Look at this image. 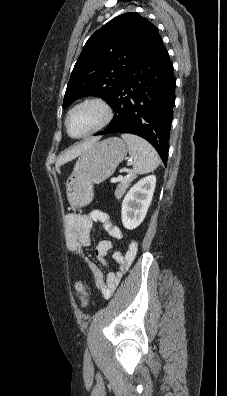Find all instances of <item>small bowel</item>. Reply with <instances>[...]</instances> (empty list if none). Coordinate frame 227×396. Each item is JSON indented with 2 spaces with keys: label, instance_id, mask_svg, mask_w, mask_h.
I'll return each instance as SVG.
<instances>
[{
  "label": "small bowel",
  "instance_id": "c3829d8e",
  "mask_svg": "<svg viewBox=\"0 0 227 396\" xmlns=\"http://www.w3.org/2000/svg\"><path fill=\"white\" fill-rule=\"evenodd\" d=\"M94 223H98L107 234L120 240L123 235L120 229L109 219V216L100 210H93L87 215L70 214L66 217V236L65 242L68 249L78 254L83 247H87L91 242V230ZM138 251V243L131 241L125 254L115 251L113 244L109 240H102L95 249V256L100 263L106 265V256L112 253L114 260L119 264L117 272H108L106 276L92 262L86 261L94 281L103 297H110L120 283L123 273L128 269Z\"/></svg>",
  "mask_w": 227,
  "mask_h": 396
}]
</instances>
